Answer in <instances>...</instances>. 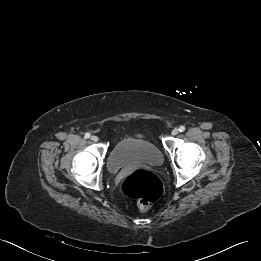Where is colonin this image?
Segmentation results:
<instances>
[{"label": "colon", "instance_id": "obj_1", "mask_svg": "<svg viewBox=\"0 0 261 261\" xmlns=\"http://www.w3.org/2000/svg\"><path fill=\"white\" fill-rule=\"evenodd\" d=\"M122 191L138 201L141 211H146L161 196L163 185L156 175L139 169L124 178Z\"/></svg>", "mask_w": 261, "mask_h": 261}]
</instances>
